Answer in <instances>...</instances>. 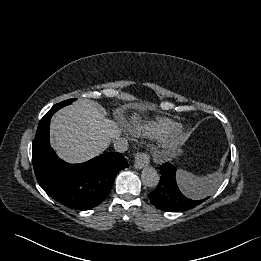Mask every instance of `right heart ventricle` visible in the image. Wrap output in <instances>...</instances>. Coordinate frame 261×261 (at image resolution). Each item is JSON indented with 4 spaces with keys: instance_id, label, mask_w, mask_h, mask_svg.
<instances>
[{
    "instance_id": "e07e8e85",
    "label": "right heart ventricle",
    "mask_w": 261,
    "mask_h": 261,
    "mask_svg": "<svg viewBox=\"0 0 261 261\" xmlns=\"http://www.w3.org/2000/svg\"><path fill=\"white\" fill-rule=\"evenodd\" d=\"M179 128V124L168 118H156L136 129L135 133L144 138L156 139L168 136Z\"/></svg>"
}]
</instances>
